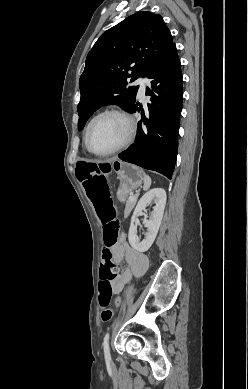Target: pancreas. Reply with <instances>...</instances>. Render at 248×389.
Returning <instances> with one entry per match:
<instances>
[{"label": "pancreas", "mask_w": 248, "mask_h": 389, "mask_svg": "<svg viewBox=\"0 0 248 389\" xmlns=\"http://www.w3.org/2000/svg\"><path fill=\"white\" fill-rule=\"evenodd\" d=\"M136 196V195H135ZM136 200L137 198H134V199H128L126 201V208H125V214H129L130 211L132 210V208L134 207L135 203H136Z\"/></svg>", "instance_id": "cf45deb5"}]
</instances>
